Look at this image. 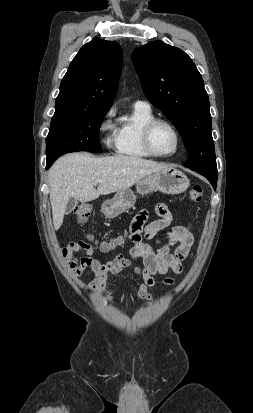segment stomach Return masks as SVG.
Segmentation results:
<instances>
[{
    "instance_id": "obj_1",
    "label": "stomach",
    "mask_w": 253,
    "mask_h": 413,
    "mask_svg": "<svg viewBox=\"0 0 253 413\" xmlns=\"http://www.w3.org/2000/svg\"><path fill=\"white\" fill-rule=\"evenodd\" d=\"M187 176L172 167L165 168L146 176L136 183V190L141 195L160 191L164 194H181L189 187ZM136 202V195L128 188L119 191L115 196L102 204L101 210L108 218H114L130 209Z\"/></svg>"
}]
</instances>
